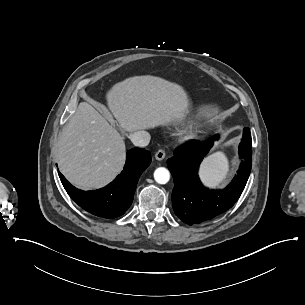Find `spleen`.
<instances>
[{"instance_id": "1", "label": "spleen", "mask_w": 305, "mask_h": 305, "mask_svg": "<svg viewBox=\"0 0 305 305\" xmlns=\"http://www.w3.org/2000/svg\"><path fill=\"white\" fill-rule=\"evenodd\" d=\"M228 172V159L223 152L218 151L203 160L199 176L203 184L210 188L223 187Z\"/></svg>"}]
</instances>
